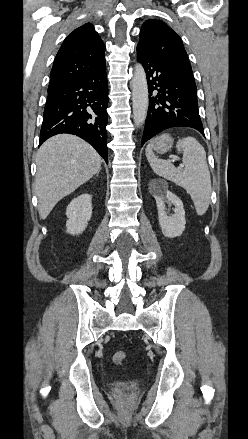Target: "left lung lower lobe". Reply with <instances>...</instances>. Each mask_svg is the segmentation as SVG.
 <instances>
[{"label":"left lung lower lobe","instance_id":"1","mask_svg":"<svg viewBox=\"0 0 248 439\" xmlns=\"http://www.w3.org/2000/svg\"><path fill=\"white\" fill-rule=\"evenodd\" d=\"M137 60L147 74L150 94L141 146L172 127H191L204 135L193 73L156 58L138 46Z\"/></svg>","mask_w":248,"mask_h":439}]
</instances>
